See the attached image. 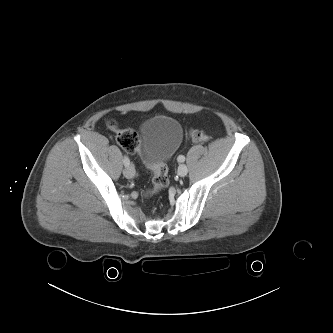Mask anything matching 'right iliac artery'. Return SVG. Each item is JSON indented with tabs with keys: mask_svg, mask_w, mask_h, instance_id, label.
Returning a JSON list of instances; mask_svg holds the SVG:
<instances>
[{
	"mask_svg": "<svg viewBox=\"0 0 333 333\" xmlns=\"http://www.w3.org/2000/svg\"><path fill=\"white\" fill-rule=\"evenodd\" d=\"M123 163L125 167H128L130 165V160L127 156H124Z\"/></svg>",
	"mask_w": 333,
	"mask_h": 333,
	"instance_id": "right-iliac-artery-1",
	"label": "right iliac artery"
}]
</instances>
